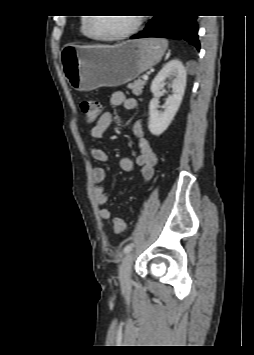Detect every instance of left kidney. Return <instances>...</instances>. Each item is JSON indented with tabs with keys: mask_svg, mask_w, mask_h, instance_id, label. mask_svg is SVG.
Wrapping results in <instances>:
<instances>
[{
	"mask_svg": "<svg viewBox=\"0 0 254 355\" xmlns=\"http://www.w3.org/2000/svg\"><path fill=\"white\" fill-rule=\"evenodd\" d=\"M174 76L171 83L172 95L165 102L164 111H160L158 94L166 85V79ZM187 72L181 61L173 59L169 61L157 74L151 84V92L155 97L149 105V125L148 128L153 135H161L170 125L175 117L183 99L186 87Z\"/></svg>",
	"mask_w": 254,
	"mask_h": 355,
	"instance_id": "left-kidney-1",
	"label": "left kidney"
}]
</instances>
